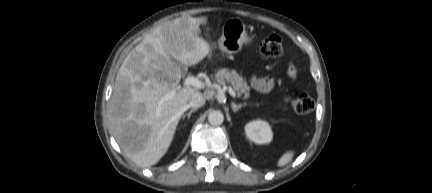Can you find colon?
<instances>
[{"instance_id": "1", "label": "colon", "mask_w": 432, "mask_h": 193, "mask_svg": "<svg viewBox=\"0 0 432 193\" xmlns=\"http://www.w3.org/2000/svg\"><path fill=\"white\" fill-rule=\"evenodd\" d=\"M260 51L266 57H281L283 54L282 39L277 35L269 36L262 42ZM284 101L299 114H307L313 111L315 107L314 100L307 94H300L298 96L286 95Z\"/></svg>"}]
</instances>
